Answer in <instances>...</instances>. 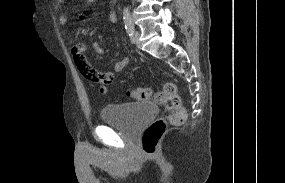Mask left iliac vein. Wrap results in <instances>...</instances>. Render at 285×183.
<instances>
[{
  "mask_svg": "<svg viewBox=\"0 0 285 183\" xmlns=\"http://www.w3.org/2000/svg\"><path fill=\"white\" fill-rule=\"evenodd\" d=\"M139 37H140L139 31L135 30V31L132 33V35H131V42L134 43V44H135V43H138Z\"/></svg>",
  "mask_w": 285,
  "mask_h": 183,
  "instance_id": "4c4485c4",
  "label": "left iliac vein"
}]
</instances>
